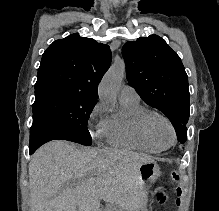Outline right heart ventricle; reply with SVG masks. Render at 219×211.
<instances>
[{
    "label": "right heart ventricle",
    "mask_w": 219,
    "mask_h": 211,
    "mask_svg": "<svg viewBox=\"0 0 219 211\" xmlns=\"http://www.w3.org/2000/svg\"><path fill=\"white\" fill-rule=\"evenodd\" d=\"M152 112L140 100H120L119 109L108 118L107 137L113 146L145 152H158V148L145 135L142 122Z\"/></svg>",
    "instance_id": "e07e8e85"
}]
</instances>
